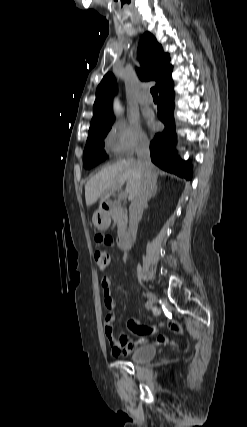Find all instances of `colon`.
<instances>
[{
  "mask_svg": "<svg viewBox=\"0 0 247 427\" xmlns=\"http://www.w3.org/2000/svg\"><path fill=\"white\" fill-rule=\"evenodd\" d=\"M94 261L99 271H104L110 264V254L107 251H96Z\"/></svg>",
  "mask_w": 247,
  "mask_h": 427,
  "instance_id": "colon-1",
  "label": "colon"
}]
</instances>
